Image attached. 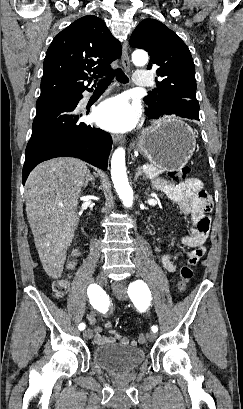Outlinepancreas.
I'll return each instance as SVG.
<instances>
[{"instance_id": "pancreas-1", "label": "pancreas", "mask_w": 243, "mask_h": 409, "mask_svg": "<svg viewBox=\"0 0 243 409\" xmlns=\"http://www.w3.org/2000/svg\"><path fill=\"white\" fill-rule=\"evenodd\" d=\"M163 171L164 170H162L160 168H157V167H155L153 165H148V169L145 170L144 172H145V175H146L147 178L154 179V178L158 177L160 174H162Z\"/></svg>"}]
</instances>
